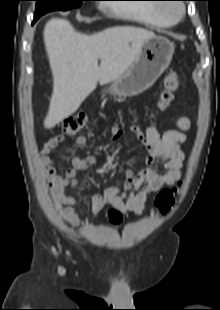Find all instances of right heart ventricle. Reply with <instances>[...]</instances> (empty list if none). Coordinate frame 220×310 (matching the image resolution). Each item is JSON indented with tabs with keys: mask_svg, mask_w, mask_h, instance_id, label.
I'll use <instances>...</instances> for the list:
<instances>
[{
	"mask_svg": "<svg viewBox=\"0 0 220 310\" xmlns=\"http://www.w3.org/2000/svg\"><path fill=\"white\" fill-rule=\"evenodd\" d=\"M163 5L141 4L114 7V13L151 27H167L173 22L162 14Z\"/></svg>",
	"mask_w": 220,
	"mask_h": 310,
	"instance_id": "right-heart-ventricle-1",
	"label": "right heart ventricle"
}]
</instances>
